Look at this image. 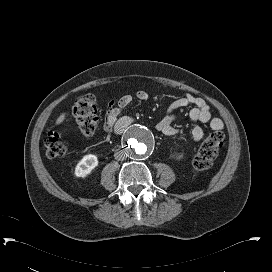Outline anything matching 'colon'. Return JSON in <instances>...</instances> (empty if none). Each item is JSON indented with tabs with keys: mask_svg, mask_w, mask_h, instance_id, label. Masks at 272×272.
Here are the masks:
<instances>
[{
	"mask_svg": "<svg viewBox=\"0 0 272 272\" xmlns=\"http://www.w3.org/2000/svg\"><path fill=\"white\" fill-rule=\"evenodd\" d=\"M73 117L81 133L90 137L97 129L99 117L96 98L93 94H85L75 100ZM224 140L220 130H216L201 144L194 160L193 168L197 171L208 169L218 154ZM45 147L49 157H62L67 154L68 146L62 135L56 131L47 133Z\"/></svg>",
	"mask_w": 272,
	"mask_h": 272,
	"instance_id": "obj_1",
	"label": "colon"
}]
</instances>
